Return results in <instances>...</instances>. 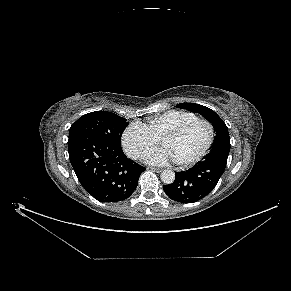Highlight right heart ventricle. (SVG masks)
<instances>
[{
	"mask_svg": "<svg viewBox=\"0 0 291 291\" xmlns=\"http://www.w3.org/2000/svg\"><path fill=\"white\" fill-rule=\"evenodd\" d=\"M197 118L198 116L193 112L169 110L151 118L148 123V128L160 140L166 133Z\"/></svg>",
	"mask_w": 291,
	"mask_h": 291,
	"instance_id": "1",
	"label": "right heart ventricle"
}]
</instances>
